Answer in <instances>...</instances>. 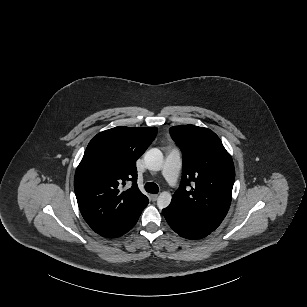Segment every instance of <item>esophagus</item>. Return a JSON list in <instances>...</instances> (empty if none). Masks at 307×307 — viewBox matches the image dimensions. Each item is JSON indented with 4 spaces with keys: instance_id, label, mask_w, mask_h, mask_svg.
<instances>
[{
    "instance_id": "obj_1",
    "label": "esophagus",
    "mask_w": 307,
    "mask_h": 307,
    "mask_svg": "<svg viewBox=\"0 0 307 307\" xmlns=\"http://www.w3.org/2000/svg\"><path fill=\"white\" fill-rule=\"evenodd\" d=\"M150 198H151L152 202H155L158 198V195L157 194H150Z\"/></svg>"
}]
</instances>
